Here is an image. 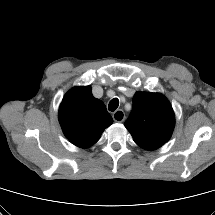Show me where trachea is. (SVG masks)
I'll return each mask as SVG.
<instances>
[{
    "mask_svg": "<svg viewBox=\"0 0 215 215\" xmlns=\"http://www.w3.org/2000/svg\"><path fill=\"white\" fill-rule=\"evenodd\" d=\"M118 105H119V100H118V98L112 99V100L109 102V106H108L109 111L114 112V111L117 109Z\"/></svg>",
    "mask_w": 215,
    "mask_h": 215,
    "instance_id": "3493384b",
    "label": "trachea"
}]
</instances>
